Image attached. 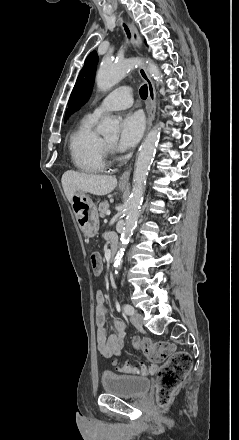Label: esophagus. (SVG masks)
I'll list each match as a JSON object with an SVG mask.
<instances>
[{
  "instance_id": "1",
  "label": "esophagus",
  "mask_w": 239,
  "mask_h": 440,
  "mask_svg": "<svg viewBox=\"0 0 239 440\" xmlns=\"http://www.w3.org/2000/svg\"><path fill=\"white\" fill-rule=\"evenodd\" d=\"M131 34H132V43L136 49H139L141 47V37L139 35V32L135 25L131 22H129ZM139 74L141 75V78L147 83L148 85V98L150 102V110L148 112L147 116V131L150 130L152 126V122L154 119L155 111H156V93H155V87L154 84L148 75L146 68L141 65L139 67ZM131 173V165L125 170V172L121 175L119 182L120 183H128Z\"/></svg>"
}]
</instances>
